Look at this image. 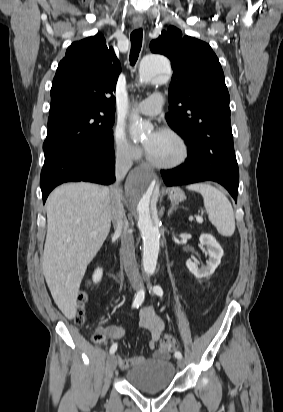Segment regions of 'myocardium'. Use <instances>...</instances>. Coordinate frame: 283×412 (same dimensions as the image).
Returning a JSON list of instances; mask_svg holds the SVG:
<instances>
[{"label":"myocardium","mask_w":283,"mask_h":412,"mask_svg":"<svg viewBox=\"0 0 283 412\" xmlns=\"http://www.w3.org/2000/svg\"><path fill=\"white\" fill-rule=\"evenodd\" d=\"M161 132L171 135L178 141V143L181 146V155L176 161L165 164V163H159L153 160L152 157L149 155L147 149H145V157H146L147 162L155 168L165 169V170L175 169V168L182 166L189 157V146H188L187 141L179 132H177L176 130L172 128H168V127L163 128L161 129Z\"/></svg>","instance_id":"f54148a6"}]
</instances>
